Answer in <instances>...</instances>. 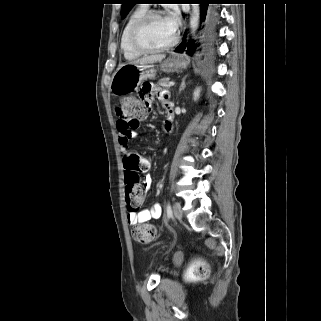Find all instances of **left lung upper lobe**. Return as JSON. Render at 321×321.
I'll return each instance as SVG.
<instances>
[{
	"label": "left lung upper lobe",
	"instance_id": "5c2ea615",
	"mask_svg": "<svg viewBox=\"0 0 321 321\" xmlns=\"http://www.w3.org/2000/svg\"><path fill=\"white\" fill-rule=\"evenodd\" d=\"M122 8H121V17L125 18L132 7L137 3V0H121Z\"/></svg>",
	"mask_w": 321,
	"mask_h": 321
}]
</instances>
